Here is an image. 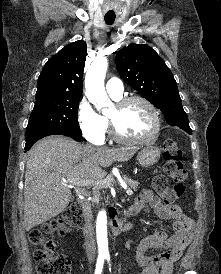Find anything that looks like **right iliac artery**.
I'll return each mask as SVG.
<instances>
[{
    "label": "right iliac artery",
    "instance_id": "right-iliac-artery-1",
    "mask_svg": "<svg viewBox=\"0 0 221 274\" xmlns=\"http://www.w3.org/2000/svg\"><path fill=\"white\" fill-rule=\"evenodd\" d=\"M104 256H98L97 263H96V269H95V274H101L103 265H104Z\"/></svg>",
    "mask_w": 221,
    "mask_h": 274
}]
</instances>
